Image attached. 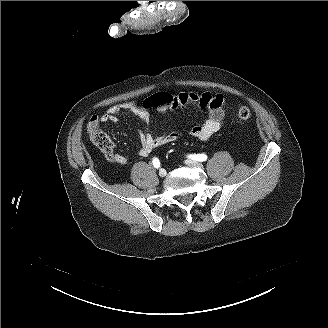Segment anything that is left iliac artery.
I'll return each instance as SVG.
<instances>
[{
  "label": "left iliac artery",
  "mask_w": 328,
  "mask_h": 328,
  "mask_svg": "<svg viewBox=\"0 0 328 328\" xmlns=\"http://www.w3.org/2000/svg\"><path fill=\"white\" fill-rule=\"evenodd\" d=\"M189 157L193 160L200 161V162L207 160V155L205 154H197V155L193 154V155H189Z\"/></svg>",
  "instance_id": "44dca946"
}]
</instances>
